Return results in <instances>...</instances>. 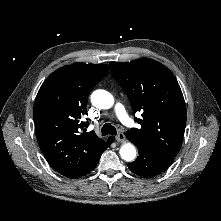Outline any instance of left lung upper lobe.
Listing matches in <instances>:
<instances>
[{"mask_svg":"<svg viewBox=\"0 0 221 221\" xmlns=\"http://www.w3.org/2000/svg\"><path fill=\"white\" fill-rule=\"evenodd\" d=\"M109 67L134 113L142 112L143 119H138L141 128H131L126 134L140 146L176 156L182 145L187 113L173 73L149 58L110 62Z\"/></svg>","mask_w":221,"mask_h":221,"instance_id":"obj_1","label":"left lung upper lobe"}]
</instances>
